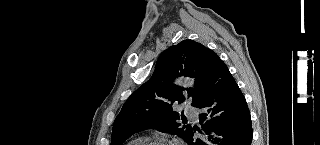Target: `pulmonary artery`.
Instances as JSON below:
<instances>
[{
	"label": "pulmonary artery",
	"instance_id": "pulmonary-artery-1",
	"mask_svg": "<svg viewBox=\"0 0 320 145\" xmlns=\"http://www.w3.org/2000/svg\"><path fill=\"white\" fill-rule=\"evenodd\" d=\"M186 115L189 119L193 120V121H197L198 120V112L196 108H188L186 110Z\"/></svg>",
	"mask_w": 320,
	"mask_h": 145
}]
</instances>
